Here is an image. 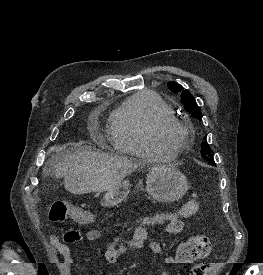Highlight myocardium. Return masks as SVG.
<instances>
[{"mask_svg":"<svg viewBox=\"0 0 263 275\" xmlns=\"http://www.w3.org/2000/svg\"><path fill=\"white\" fill-rule=\"evenodd\" d=\"M172 130L176 132L177 139L173 143L165 142L161 134L165 131ZM152 144L159 150L169 154L178 153L189 139V129L182 121L173 116H166L159 119L150 131Z\"/></svg>","mask_w":263,"mask_h":275,"instance_id":"myocardium-1","label":"myocardium"}]
</instances>
